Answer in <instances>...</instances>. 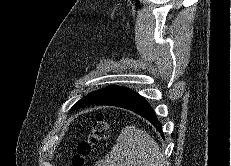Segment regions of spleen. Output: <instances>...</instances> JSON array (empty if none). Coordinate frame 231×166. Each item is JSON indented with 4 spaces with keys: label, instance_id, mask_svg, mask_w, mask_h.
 <instances>
[{
    "label": "spleen",
    "instance_id": "3e777b00",
    "mask_svg": "<svg viewBox=\"0 0 231 166\" xmlns=\"http://www.w3.org/2000/svg\"><path fill=\"white\" fill-rule=\"evenodd\" d=\"M159 145L135 126L121 130L116 144L97 166H165Z\"/></svg>",
    "mask_w": 231,
    "mask_h": 166
}]
</instances>
